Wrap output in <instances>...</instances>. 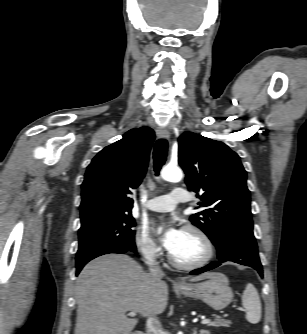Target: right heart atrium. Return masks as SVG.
Instances as JSON below:
<instances>
[{"instance_id": "obj_1", "label": "right heart atrium", "mask_w": 307, "mask_h": 334, "mask_svg": "<svg viewBox=\"0 0 307 334\" xmlns=\"http://www.w3.org/2000/svg\"><path fill=\"white\" fill-rule=\"evenodd\" d=\"M134 245L142 259L147 263L156 261L160 255V247L150 236L145 227H139L134 235Z\"/></svg>"}]
</instances>
